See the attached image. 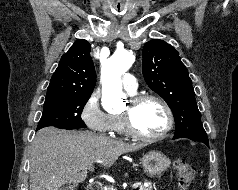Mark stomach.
Listing matches in <instances>:
<instances>
[{"label":"stomach","instance_id":"1","mask_svg":"<svg viewBox=\"0 0 238 190\" xmlns=\"http://www.w3.org/2000/svg\"><path fill=\"white\" fill-rule=\"evenodd\" d=\"M170 163L166 155L157 151H151L142 158L144 171L150 177L160 176L170 166Z\"/></svg>","mask_w":238,"mask_h":190}]
</instances>
